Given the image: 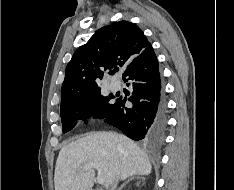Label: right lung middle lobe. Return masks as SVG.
I'll return each mask as SVG.
<instances>
[{"label":"right lung middle lobe","mask_w":234,"mask_h":190,"mask_svg":"<svg viewBox=\"0 0 234 190\" xmlns=\"http://www.w3.org/2000/svg\"><path fill=\"white\" fill-rule=\"evenodd\" d=\"M114 98L112 94L102 96L98 89L62 103L60 108L63 133L72 130L77 120H86L91 114L95 113L100 118L109 116L116 106V102L111 101Z\"/></svg>","instance_id":"obj_1"}]
</instances>
